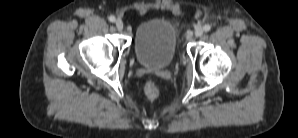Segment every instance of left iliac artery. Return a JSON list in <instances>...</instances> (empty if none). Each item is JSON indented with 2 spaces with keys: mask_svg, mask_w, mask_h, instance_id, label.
<instances>
[{
  "mask_svg": "<svg viewBox=\"0 0 298 138\" xmlns=\"http://www.w3.org/2000/svg\"><path fill=\"white\" fill-rule=\"evenodd\" d=\"M203 29H204L205 32H208V31L211 30V25L206 24V25H204Z\"/></svg>",
  "mask_w": 298,
  "mask_h": 138,
  "instance_id": "left-iliac-artery-1",
  "label": "left iliac artery"
}]
</instances>
